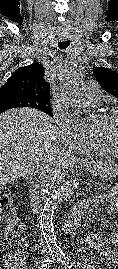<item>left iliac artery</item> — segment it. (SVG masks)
<instances>
[{
    "instance_id": "1",
    "label": "left iliac artery",
    "mask_w": 118,
    "mask_h": 269,
    "mask_svg": "<svg viewBox=\"0 0 118 269\" xmlns=\"http://www.w3.org/2000/svg\"><path fill=\"white\" fill-rule=\"evenodd\" d=\"M58 259L65 266L66 269L72 268L73 265H72L71 261L64 253L61 252L60 254H58Z\"/></svg>"
}]
</instances>
